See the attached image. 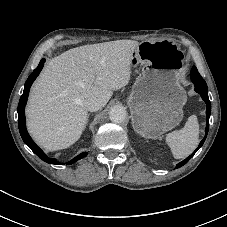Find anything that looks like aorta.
<instances>
[{"label": "aorta", "instance_id": "aorta-1", "mask_svg": "<svg viewBox=\"0 0 227 227\" xmlns=\"http://www.w3.org/2000/svg\"><path fill=\"white\" fill-rule=\"evenodd\" d=\"M126 110L122 106H114L109 112V118L114 123H122L126 119Z\"/></svg>", "mask_w": 227, "mask_h": 227}]
</instances>
